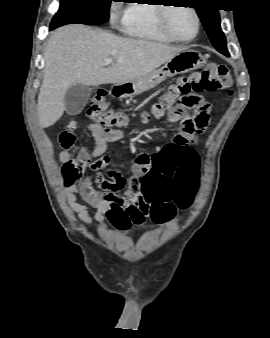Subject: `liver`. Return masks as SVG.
Returning <instances> with one entry per match:
<instances>
[{
  "mask_svg": "<svg viewBox=\"0 0 270 338\" xmlns=\"http://www.w3.org/2000/svg\"><path fill=\"white\" fill-rule=\"evenodd\" d=\"M141 39H127L84 25L53 31L44 52V77L38 95L42 128L52 126L66 110L64 97L72 85L125 84L142 77L186 50ZM113 58L105 68L103 62Z\"/></svg>",
  "mask_w": 270,
  "mask_h": 338,
  "instance_id": "liver-1",
  "label": "liver"
}]
</instances>
